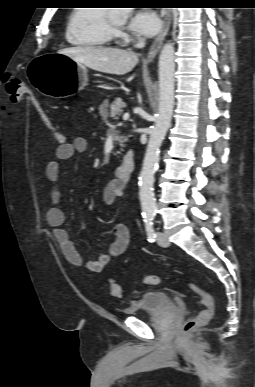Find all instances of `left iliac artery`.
Returning a JSON list of instances; mask_svg holds the SVG:
<instances>
[{"label":"left iliac artery","instance_id":"obj_1","mask_svg":"<svg viewBox=\"0 0 255 387\" xmlns=\"http://www.w3.org/2000/svg\"><path fill=\"white\" fill-rule=\"evenodd\" d=\"M144 223H145V231H146V234L148 236V241L154 242L155 238H156V234H155L154 227H153V218L146 217L144 219Z\"/></svg>","mask_w":255,"mask_h":387}]
</instances>
